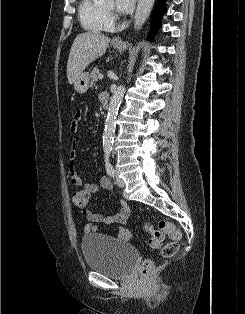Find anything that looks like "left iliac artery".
<instances>
[{"label": "left iliac artery", "instance_id": "44dca946", "mask_svg": "<svg viewBox=\"0 0 245 314\" xmlns=\"http://www.w3.org/2000/svg\"><path fill=\"white\" fill-rule=\"evenodd\" d=\"M109 157H110L109 154L105 155V167H106V171H107L108 175L111 177H114L115 170H114L112 164L110 163Z\"/></svg>", "mask_w": 245, "mask_h": 314}]
</instances>
